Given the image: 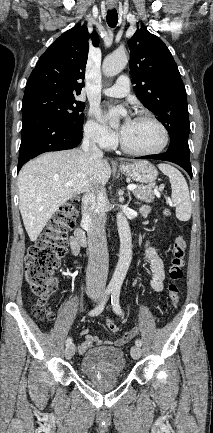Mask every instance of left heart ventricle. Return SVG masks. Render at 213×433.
<instances>
[{
  "label": "left heart ventricle",
  "mask_w": 213,
  "mask_h": 433,
  "mask_svg": "<svg viewBox=\"0 0 213 433\" xmlns=\"http://www.w3.org/2000/svg\"><path fill=\"white\" fill-rule=\"evenodd\" d=\"M120 136L128 147L138 151L155 149L162 140L158 127L146 120H131Z\"/></svg>",
  "instance_id": "left-heart-ventricle-1"
}]
</instances>
